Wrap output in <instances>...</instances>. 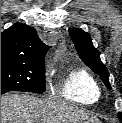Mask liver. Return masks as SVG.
I'll use <instances>...</instances> for the list:
<instances>
[{
    "mask_svg": "<svg viewBox=\"0 0 122 123\" xmlns=\"http://www.w3.org/2000/svg\"><path fill=\"white\" fill-rule=\"evenodd\" d=\"M1 123H100L90 112L31 94L1 97Z\"/></svg>",
    "mask_w": 122,
    "mask_h": 123,
    "instance_id": "1",
    "label": "liver"
}]
</instances>
